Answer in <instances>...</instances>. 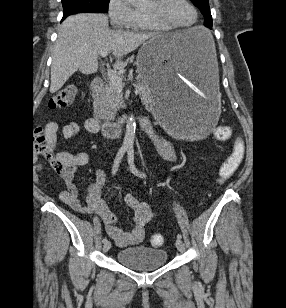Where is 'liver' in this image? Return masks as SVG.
Returning <instances> with one entry per match:
<instances>
[{"instance_id":"liver-1","label":"liver","mask_w":286,"mask_h":308,"mask_svg":"<svg viewBox=\"0 0 286 308\" xmlns=\"http://www.w3.org/2000/svg\"><path fill=\"white\" fill-rule=\"evenodd\" d=\"M162 36L158 33L112 31L108 29V18L103 14L81 13L67 17L59 27L55 42L50 92L58 91L78 70L83 74L96 73L101 51L112 52L118 69L127 65L123 60L148 39ZM164 36L172 40L183 37L182 32Z\"/></svg>"}]
</instances>
